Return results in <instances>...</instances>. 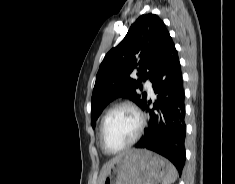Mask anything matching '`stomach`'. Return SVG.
Returning <instances> with one entry per match:
<instances>
[{"instance_id":"0dacf381","label":"stomach","mask_w":235,"mask_h":184,"mask_svg":"<svg viewBox=\"0 0 235 184\" xmlns=\"http://www.w3.org/2000/svg\"><path fill=\"white\" fill-rule=\"evenodd\" d=\"M168 162L149 150H131L112 164L102 184H157Z\"/></svg>"}]
</instances>
